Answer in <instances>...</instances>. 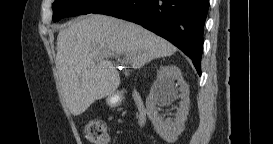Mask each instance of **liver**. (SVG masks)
<instances>
[{"mask_svg":"<svg viewBox=\"0 0 273 144\" xmlns=\"http://www.w3.org/2000/svg\"><path fill=\"white\" fill-rule=\"evenodd\" d=\"M176 47L151 31L122 19L90 14L71 21L57 36L56 66L60 86L72 115L116 91L119 72L109 54L127 53L134 69L171 56Z\"/></svg>","mask_w":273,"mask_h":144,"instance_id":"1","label":"liver"}]
</instances>
